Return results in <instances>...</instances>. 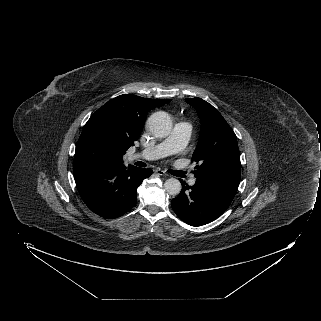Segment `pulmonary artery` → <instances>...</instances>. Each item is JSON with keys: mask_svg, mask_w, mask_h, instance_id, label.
<instances>
[{"mask_svg": "<svg viewBox=\"0 0 321 321\" xmlns=\"http://www.w3.org/2000/svg\"><path fill=\"white\" fill-rule=\"evenodd\" d=\"M191 133L192 126L190 123L178 122L174 125L172 132L167 138L153 146L142 149L135 156L146 160H155L175 154L187 145ZM195 182L196 179L192 178L189 184L194 185Z\"/></svg>", "mask_w": 321, "mask_h": 321, "instance_id": "e3ab8cb5", "label": "pulmonary artery"}]
</instances>
